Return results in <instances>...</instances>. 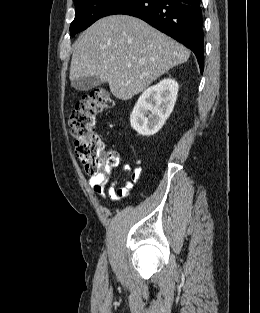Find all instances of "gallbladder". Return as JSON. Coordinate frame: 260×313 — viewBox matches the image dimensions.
<instances>
[{
	"mask_svg": "<svg viewBox=\"0 0 260 313\" xmlns=\"http://www.w3.org/2000/svg\"><path fill=\"white\" fill-rule=\"evenodd\" d=\"M102 83L103 82L97 77L87 76L72 81L71 85L78 91H86L100 86Z\"/></svg>",
	"mask_w": 260,
	"mask_h": 313,
	"instance_id": "bac80fb5",
	"label": "gallbladder"
}]
</instances>
